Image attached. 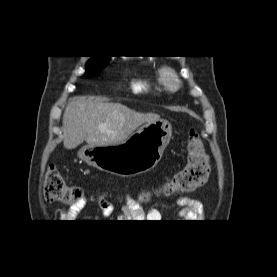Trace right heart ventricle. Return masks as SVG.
Segmentation results:
<instances>
[{
  "label": "right heart ventricle",
  "mask_w": 277,
  "mask_h": 277,
  "mask_svg": "<svg viewBox=\"0 0 277 277\" xmlns=\"http://www.w3.org/2000/svg\"><path fill=\"white\" fill-rule=\"evenodd\" d=\"M162 82L156 71L148 73L146 78L136 79L132 88L136 93L160 94L163 91Z\"/></svg>",
  "instance_id": "e07e8e85"
}]
</instances>
